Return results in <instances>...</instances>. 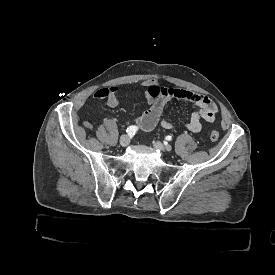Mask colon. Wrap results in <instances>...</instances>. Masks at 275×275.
Returning <instances> with one entry per match:
<instances>
[{"mask_svg": "<svg viewBox=\"0 0 275 275\" xmlns=\"http://www.w3.org/2000/svg\"><path fill=\"white\" fill-rule=\"evenodd\" d=\"M159 91H160V88H159V86L156 85V84H152V85H150L149 88H148V93H149V95L152 96V97L157 96L158 93H159ZM85 126L88 127V128H91V125H90V123H88V122L85 123ZM210 139H211V141H213V142L217 141V140L219 139V133H218V131L213 130V131L211 132V134H210Z\"/></svg>", "mask_w": 275, "mask_h": 275, "instance_id": "colon-1", "label": "colon"}]
</instances>
